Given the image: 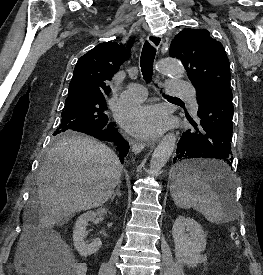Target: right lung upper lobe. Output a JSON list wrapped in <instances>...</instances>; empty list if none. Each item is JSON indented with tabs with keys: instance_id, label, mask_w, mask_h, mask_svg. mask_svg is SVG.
<instances>
[{
	"instance_id": "obj_1",
	"label": "right lung upper lobe",
	"mask_w": 263,
	"mask_h": 275,
	"mask_svg": "<svg viewBox=\"0 0 263 275\" xmlns=\"http://www.w3.org/2000/svg\"><path fill=\"white\" fill-rule=\"evenodd\" d=\"M114 42H104L80 57L69 84L68 97L77 95L106 96L110 93L108 81L123 62L131 56L130 48Z\"/></svg>"
}]
</instances>
